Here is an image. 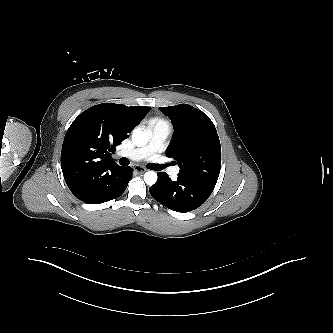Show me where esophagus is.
<instances>
[{
    "label": "esophagus",
    "mask_w": 333,
    "mask_h": 333,
    "mask_svg": "<svg viewBox=\"0 0 333 333\" xmlns=\"http://www.w3.org/2000/svg\"><path fill=\"white\" fill-rule=\"evenodd\" d=\"M133 170L136 171V172H138V173H144L147 169L144 168V167H142V166L135 165V166L133 167Z\"/></svg>",
    "instance_id": "obj_1"
}]
</instances>
